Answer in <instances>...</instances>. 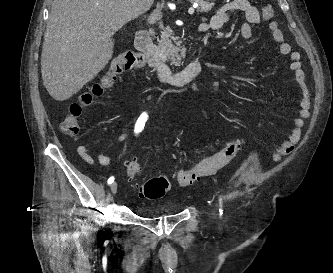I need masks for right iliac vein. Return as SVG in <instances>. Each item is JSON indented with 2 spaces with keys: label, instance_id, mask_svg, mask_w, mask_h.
I'll return each mask as SVG.
<instances>
[{
  "label": "right iliac vein",
  "instance_id": "63e3f726",
  "mask_svg": "<svg viewBox=\"0 0 333 273\" xmlns=\"http://www.w3.org/2000/svg\"><path fill=\"white\" fill-rule=\"evenodd\" d=\"M111 192L113 194H115L117 192V183L116 182L112 183V185H111Z\"/></svg>",
  "mask_w": 333,
  "mask_h": 273
}]
</instances>
